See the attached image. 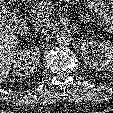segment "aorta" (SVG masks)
Segmentation results:
<instances>
[{"mask_svg":"<svg viewBox=\"0 0 113 113\" xmlns=\"http://www.w3.org/2000/svg\"><path fill=\"white\" fill-rule=\"evenodd\" d=\"M55 38L59 44H66L71 41L72 33L68 28H61L57 31Z\"/></svg>","mask_w":113,"mask_h":113,"instance_id":"obj_1","label":"aorta"}]
</instances>
